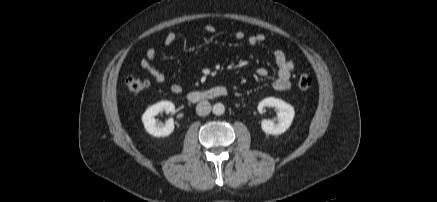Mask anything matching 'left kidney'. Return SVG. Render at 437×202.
<instances>
[{
  "label": "left kidney",
  "mask_w": 437,
  "mask_h": 202,
  "mask_svg": "<svg viewBox=\"0 0 437 202\" xmlns=\"http://www.w3.org/2000/svg\"><path fill=\"white\" fill-rule=\"evenodd\" d=\"M266 107L275 108L277 113V123L273 120L264 119L261 128L266 134L279 135L284 133L291 125L294 118V108L281 99L268 97L258 104V111L263 113Z\"/></svg>",
  "instance_id": "5707ae66"
}]
</instances>
